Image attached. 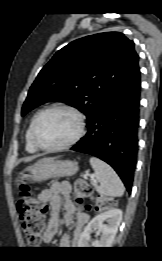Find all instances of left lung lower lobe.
Returning a JSON list of instances; mask_svg holds the SVG:
<instances>
[{"mask_svg": "<svg viewBox=\"0 0 162 261\" xmlns=\"http://www.w3.org/2000/svg\"><path fill=\"white\" fill-rule=\"evenodd\" d=\"M140 86L138 69L97 106L87 121V134L71 148L112 166L129 192L138 150Z\"/></svg>", "mask_w": 162, "mask_h": 261, "instance_id": "1", "label": "left lung lower lobe"}]
</instances>
